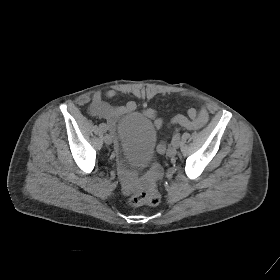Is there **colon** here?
<instances>
[{
	"instance_id": "obj_1",
	"label": "colon",
	"mask_w": 280,
	"mask_h": 280,
	"mask_svg": "<svg viewBox=\"0 0 280 280\" xmlns=\"http://www.w3.org/2000/svg\"><path fill=\"white\" fill-rule=\"evenodd\" d=\"M159 174L160 166L158 164H154L151 169V175L155 178ZM160 199L161 196L156 188L155 183L151 182L146 190L131 195L128 199V203L134 207L141 205L155 206L159 204Z\"/></svg>"
}]
</instances>
